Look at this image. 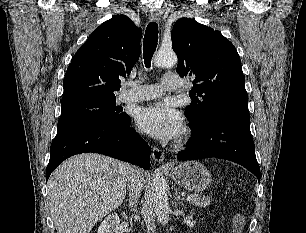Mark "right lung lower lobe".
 Wrapping results in <instances>:
<instances>
[{
    "mask_svg": "<svg viewBox=\"0 0 306 233\" xmlns=\"http://www.w3.org/2000/svg\"><path fill=\"white\" fill-rule=\"evenodd\" d=\"M130 116L121 123L93 121L57 132L50 147L46 181L51 172L65 159L75 154L93 152L108 155L150 168V148L141 136L130 128Z\"/></svg>",
    "mask_w": 306,
    "mask_h": 233,
    "instance_id": "obj_1",
    "label": "right lung lower lobe"
}]
</instances>
